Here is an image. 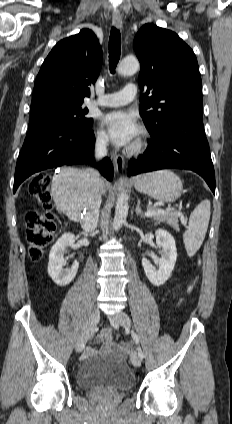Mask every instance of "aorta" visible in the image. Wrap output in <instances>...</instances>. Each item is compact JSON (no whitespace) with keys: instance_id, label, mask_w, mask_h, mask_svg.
Returning <instances> with one entry per match:
<instances>
[{"instance_id":"1","label":"aorta","mask_w":232,"mask_h":424,"mask_svg":"<svg viewBox=\"0 0 232 424\" xmlns=\"http://www.w3.org/2000/svg\"><path fill=\"white\" fill-rule=\"evenodd\" d=\"M140 68L139 61L134 57H127L123 59L118 67L117 73L119 75L127 76L135 74ZM119 193L117 195L116 207H115V216H114V227L119 229L125 222L128 216V196L126 190L121 185L119 187Z\"/></svg>"}]
</instances>
